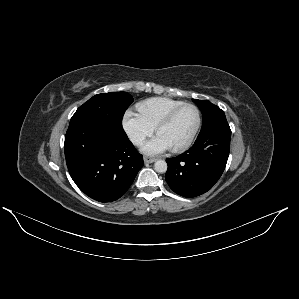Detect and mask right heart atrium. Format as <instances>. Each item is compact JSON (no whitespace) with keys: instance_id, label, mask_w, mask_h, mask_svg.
Segmentation results:
<instances>
[{"instance_id":"d8ad5b80","label":"right heart atrium","mask_w":299,"mask_h":299,"mask_svg":"<svg viewBox=\"0 0 299 299\" xmlns=\"http://www.w3.org/2000/svg\"><path fill=\"white\" fill-rule=\"evenodd\" d=\"M122 125L129 139L135 145H141L155 130V128L146 122L139 113L132 110H128L124 114Z\"/></svg>"}]
</instances>
